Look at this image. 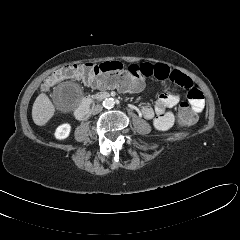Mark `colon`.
Wrapping results in <instances>:
<instances>
[{
    "label": "colon",
    "mask_w": 240,
    "mask_h": 240,
    "mask_svg": "<svg viewBox=\"0 0 240 240\" xmlns=\"http://www.w3.org/2000/svg\"><path fill=\"white\" fill-rule=\"evenodd\" d=\"M76 78L91 85L115 87L120 90L130 91L140 84V77L133 71L131 66H125L117 61H106L99 64H71L55 71L48 77L44 84L49 89L61 80ZM197 115L193 112L188 102L180 104L178 121L187 126L194 123Z\"/></svg>",
    "instance_id": "obj_1"
}]
</instances>
